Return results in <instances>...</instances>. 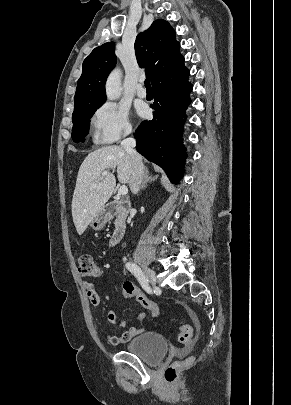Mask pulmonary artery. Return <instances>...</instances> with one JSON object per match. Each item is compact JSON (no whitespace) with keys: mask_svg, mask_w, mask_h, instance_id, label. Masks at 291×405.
Returning a JSON list of instances; mask_svg holds the SVG:
<instances>
[{"mask_svg":"<svg viewBox=\"0 0 291 405\" xmlns=\"http://www.w3.org/2000/svg\"><path fill=\"white\" fill-rule=\"evenodd\" d=\"M136 94L140 98H145L147 95L146 89L143 87V80H140L137 89H136Z\"/></svg>","mask_w":291,"mask_h":405,"instance_id":"pulmonary-artery-1","label":"pulmonary artery"}]
</instances>
